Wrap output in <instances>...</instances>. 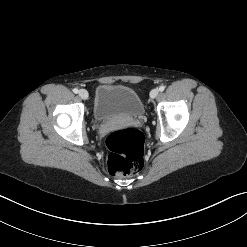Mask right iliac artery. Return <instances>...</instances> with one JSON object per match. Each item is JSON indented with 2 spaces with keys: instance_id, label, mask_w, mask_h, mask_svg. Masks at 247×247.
<instances>
[{
  "instance_id": "right-iliac-artery-1",
  "label": "right iliac artery",
  "mask_w": 247,
  "mask_h": 247,
  "mask_svg": "<svg viewBox=\"0 0 247 247\" xmlns=\"http://www.w3.org/2000/svg\"><path fill=\"white\" fill-rule=\"evenodd\" d=\"M73 92H74L75 94H77L79 91H78L77 88H74V89H73Z\"/></svg>"
}]
</instances>
